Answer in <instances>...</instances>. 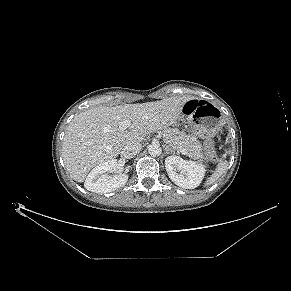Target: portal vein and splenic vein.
<instances>
[{"label": "portal vein and splenic vein", "mask_w": 291, "mask_h": 291, "mask_svg": "<svg viewBox=\"0 0 291 291\" xmlns=\"http://www.w3.org/2000/svg\"><path fill=\"white\" fill-rule=\"evenodd\" d=\"M130 126H131V122H130L129 120H125V121H123V122L121 123L120 128H121L122 130H126V129H127L128 127H130ZM179 151H180L183 155H187L186 149L181 148Z\"/></svg>", "instance_id": "portal-vein-and-splenic-vein-1"}]
</instances>
